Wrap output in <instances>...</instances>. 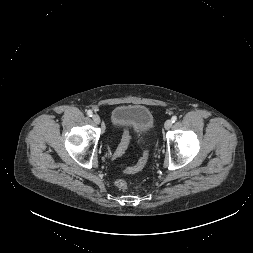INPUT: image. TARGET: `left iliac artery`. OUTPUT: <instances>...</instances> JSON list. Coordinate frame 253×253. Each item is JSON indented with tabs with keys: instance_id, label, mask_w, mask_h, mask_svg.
Here are the masks:
<instances>
[{
	"instance_id": "1",
	"label": "left iliac artery",
	"mask_w": 253,
	"mask_h": 253,
	"mask_svg": "<svg viewBox=\"0 0 253 253\" xmlns=\"http://www.w3.org/2000/svg\"><path fill=\"white\" fill-rule=\"evenodd\" d=\"M171 120H172V123H174L177 120V116H173Z\"/></svg>"
}]
</instances>
